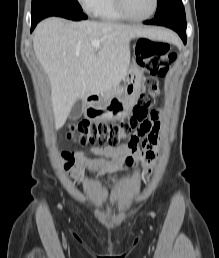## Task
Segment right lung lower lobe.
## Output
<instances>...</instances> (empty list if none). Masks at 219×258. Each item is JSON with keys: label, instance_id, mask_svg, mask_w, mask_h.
Segmentation results:
<instances>
[{"label": "right lung lower lobe", "instance_id": "obj_1", "mask_svg": "<svg viewBox=\"0 0 219 258\" xmlns=\"http://www.w3.org/2000/svg\"><path fill=\"white\" fill-rule=\"evenodd\" d=\"M49 16H59V17H64L75 21L87 19V16L83 12L77 11L75 9L65 8V7H55L42 13L38 18L32 19L31 31H33V29L35 28V26L39 21Z\"/></svg>", "mask_w": 219, "mask_h": 258}]
</instances>
